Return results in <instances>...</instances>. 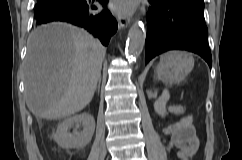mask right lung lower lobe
<instances>
[{
  "label": "right lung lower lobe",
  "instance_id": "98d812e1",
  "mask_svg": "<svg viewBox=\"0 0 242 160\" xmlns=\"http://www.w3.org/2000/svg\"><path fill=\"white\" fill-rule=\"evenodd\" d=\"M106 6L108 0H97ZM94 0H44L37 3L35 22L38 25L54 21L68 22L85 28L98 37L106 46L110 37L116 32L118 24L111 13L104 9L93 14L97 9Z\"/></svg>",
  "mask_w": 242,
  "mask_h": 160
}]
</instances>
